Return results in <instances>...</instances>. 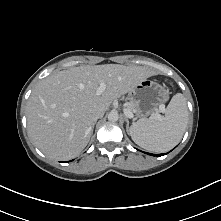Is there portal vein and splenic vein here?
I'll list each match as a JSON object with an SVG mask.
<instances>
[{"label":"portal vein and splenic vein","instance_id":"portal-vein-and-splenic-vein-1","mask_svg":"<svg viewBox=\"0 0 221 221\" xmlns=\"http://www.w3.org/2000/svg\"><path fill=\"white\" fill-rule=\"evenodd\" d=\"M105 89H106V84L104 82H102L100 84V86L98 87V89L96 91V94L97 95H101L105 91ZM124 114L128 118H132L133 117L132 112L129 109H127V108H124ZM152 118L160 120L162 118V116L160 114L156 113V114L152 115Z\"/></svg>","mask_w":221,"mask_h":221}]
</instances>
